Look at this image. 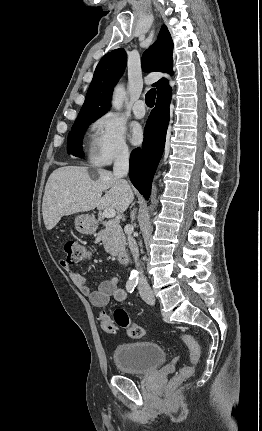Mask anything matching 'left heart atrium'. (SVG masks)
Returning a JSON list of instances; mask_svg holds the SVG:
<instances>
[{"mask_svg": "<svg viewBox=\"0 0 262 431\" xmlns=\"http://www.w3.org/2000/svg\"><path fill=\"white\" fill-rule=\"evenodd\" d=\"M130 139L133 145H139L143 141V132L139 125H133L130 131Z\"/></svg>", "mask_w": 262, "mask_h": 431, "instance_id": "left-heart-atrium-1", "label": "left heart atrium"}]
</instances>
